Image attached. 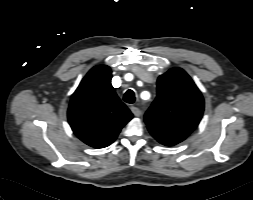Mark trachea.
I'll list each match as a JSON object with an SVG mask.
<instances>
[{"label":"trachea","mask_w":253,"mask_h":200,"mask_svg":"<svg viewBox=\"0 0 253 200\" xmlns=\"http://www.w3.org/2000/svg\"><path fill=\"white\" fill-rule=\"evenodd\" d=\"M123 100L126 103L132 104L135 101V93L132 90H127L124 94Z\"/></svg>","instance_id":"obj_1"}]
</instances>
